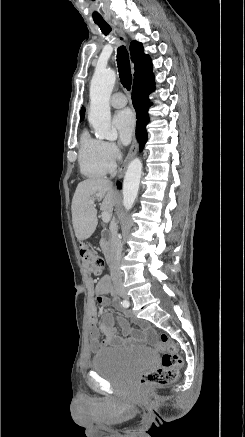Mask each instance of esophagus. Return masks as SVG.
<instances>
[{
    "instance_id": "34e87169",
    "label": "esophagus",
    "mask_w": 245,
    "mask_h": 437,
    "mask_svg": "<svg viewBox=\"0 0 245 437\" xmlns=\"http://www.w3.org/2000/svg\"><path fill=\"white\" fill-rule=\"evenodd\" d=\"M137 150H138V143H137V140L134 139L132 144H131V147L129 149V152H128V154H127V156H126V158H125L121 168L119 169L118 177H122L123 176V174H124L128 164H129L130 160L137 153Z\"/></svg>"
}]
</instances>
